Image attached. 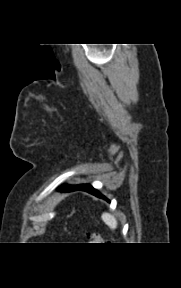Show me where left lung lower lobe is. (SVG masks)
<instances>
[{"label": "left lung lower lobe", "mask_w": 181, "mask_h": 288, "mask_svg": "<svg viewBox=\"0 0 181 288\" xmlns=\"http://www.w3.org/2000/svg\"><path fill=\"white\" fill-rule=\"evenodd\" d=\"M61 190L64 191H76V190H82L86 191L92 195H95L99 198L105 199L106 201L109 202V200L104 197L100 192H98L96 189H94L91 185L89 184H82V185H77V186H63Z\"/></svg>", "instance_id": "0a47b994"}]
</instances>
